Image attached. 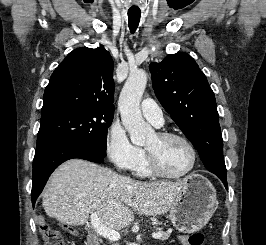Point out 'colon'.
<instances>
[{"mask_svg":"<svg viewBox=\"0 0 266 245\" xmlns=\"http://www.w3.org/2000/svg\"><path fill=\"white\" fill-rule=\"evenodd\" d=\"M40 230L46 245H67L62 236L50 224H42ZM185 242L187 245H204V235L202 232H193L186 237Z\"/></svg>","mask_w":266,"mask_h":245,"instance_id":"obj_1","label":"colon"}]
</instances>
